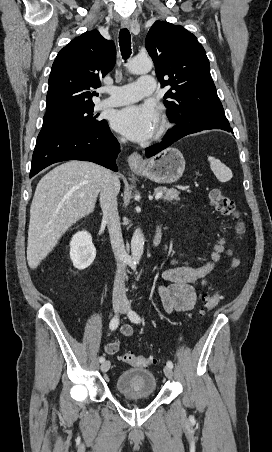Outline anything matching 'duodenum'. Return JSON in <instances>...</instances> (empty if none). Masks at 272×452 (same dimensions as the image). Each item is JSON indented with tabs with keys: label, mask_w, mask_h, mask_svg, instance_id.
Listing matches in <instances>:
<instances>
[{
	"label": "duodenum",
	"mask_w": 272,
	"mask_h": 452,
	"mask_svg": "<svg viewBox=\"0 0 272 452\" xmlns=\"http://www.w3.org/2000/svg\"><path fill=\"white\" fill-rule=\"evenodd\" d=\"M161 237H162L161 228L159 225H156L155 234H154L153 241H152L153 246L159 245V243L161 241Z\"/></svg>",
	"instance_id": "duodenum-1"
}]
</instances>
